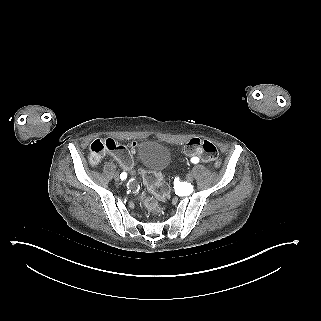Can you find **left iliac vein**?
I'll use <instances>...</instances> for the list:
<instances>
[{"instance_id":"1","label":"left iliac vein","mask_w":321,"mask_h":321,"mask_svg":"<svg viewBox=\"0 0 321 321\" xmlns=\"http://www.w3.org/2000/svg\"><path fill=\"white\" fill-rule=\"evenodd\" d=\"M193 178H194V175L192 172H189L187 175H186V181L188 182H192L193 181Z\"/></svg>"}]
</instances>
